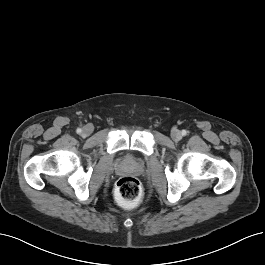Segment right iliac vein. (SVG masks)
Instances as JSON below:
<instances>
[{
	"label": "right iliac vein",
	"mask_w": 265,
	"mask_h": 265,
	"mask_svg": "<svg viewBox=\"0 0 265 265\" xmlns=\"http://www.w3.org/2000/svg\"><path fill=\"white\" fill-rule=\"evenodd\" d=\"M92 131H93V126L88 124L83 127L82 134L84 136H89L92 133Z\"/></svg>",
	"instance_id": "right-iliac-vein-1"
}]
</instances>
